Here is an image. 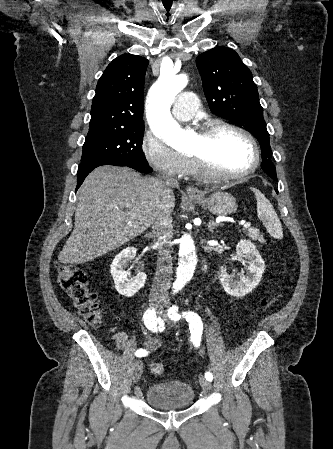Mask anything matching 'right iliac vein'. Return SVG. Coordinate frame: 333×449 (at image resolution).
Instances as JSON below:
<instances>
[{"label": "right iliac vein", "mask_w": 333, "mask_h": 449, "mask_svg": "<svg viewBox=\"0 0 333 449\" xmlns=\"http://www.w3.org/2000/svg\"><path fill=\"white\" fill-rule=\"evenodd\" d=\"M142 370H143L142 362L139 360H136L133 363V381H134V383L139 381V379L142 375Z\"/></svg>", "instance_id": "obj_1"}]
</instances>
